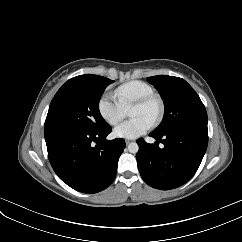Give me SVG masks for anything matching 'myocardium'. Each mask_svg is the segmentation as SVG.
Returning <instances> with one entry per match:
<instances>
[{"label": "myocardium", "mask_w": 242, "mask_h": 242, "mask_svg": "<svg viewBox=\"0 0 242 242\" xmlns=\"http://www.w3.org/2000/svg\"><path fill=\"white\" fill-rule=\"evenodd\" d=\"M151 103H155L157 107L156 116L153 122L151 123V126L155 127L161 122L164 113V102L158 94L152 93L147 96H144L135 101L131 107H143Z\"/></svg>", "instance_id": "1"}]
</instances>
